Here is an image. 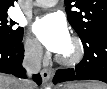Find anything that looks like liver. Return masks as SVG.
I'll use <instances>...</instances> for the list:
<instances>
[{"label": "liver", "instance_id": "6515ba94", "mask_svg": "<svg viewBox=\"0 0 107 89\" xmlns=\"http://www.w3.org/2000/svg\"><path fill=\"white\" fill-rule=\"evenodd\" d=\"M80 88L84 89H97L100 87L99 85H105L99 82H92V83H84V84H72ZM22 80L16 79L11 76H7L1 74L0 76V89H26ZM31 89H34V85Z\"/></svg>", "mask_w": 107, "mask_h": 89}]
</instances>
